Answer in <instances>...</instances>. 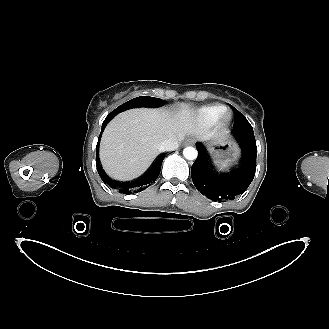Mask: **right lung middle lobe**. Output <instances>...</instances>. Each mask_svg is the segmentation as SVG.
<instances>
[{
	"instance_id": "dd1d6c3e",
	"label": "right lung middle lobe",
	"mask_w": 329,
	"mask_h": 329,
	"mask_svg": "<svg viewBox=\"0 0 329 329\" xmlns=\"http://www.w3.org/2000/svg\"><path fill=\"white\" fill-rule=\"evenodd\" d=\"M165 104V101L159 98L149 97V96H141L134 98L126 103L117 107L114 111H112L108 116L114 117L120 112H123L127 109L136 108V107H160Z\"/></svg>"
}]
</instances>
